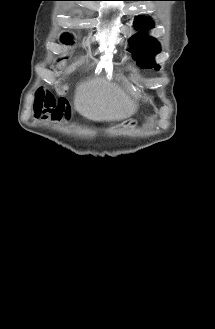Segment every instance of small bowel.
Wrapping results in <instances>:
<instances>
[{"instance_id":"c3829d8e","label":"small bowel","mask_w":215,"mask_h":329,"mask_svg":"<svg viewBox=\"0 0 215 329\" xmlns=\"http://www.w3.org/2000/svg\"><path fill=\"white\" fill-rule=\"evenodd\" d=\"M34 115L36 118H39V119H42L45 121H60V120H63L67 116V114H34Z\"/></svg>"}]
</instances>
